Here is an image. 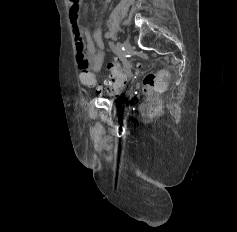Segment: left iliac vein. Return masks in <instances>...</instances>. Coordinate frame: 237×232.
Returning a JSON list of instances; mask_svg holds the SVG:
<instances>
[{"instance_id":"left-iliac-vein-1","label":"left iliac vein","mask_w":237,"mask_h":232,"mask_svg":"<svg viewBox=\"0 0 237 232\" xmlns=\"http://www.w3.org/2000/svg\"><path fill=\"white\" fill-rule=\"evenodd\" d=\"M122 46H123V49L126 52H129L132 49V46H131V44L128 41L123 42Z\"/></svg>"}]
</instances>
